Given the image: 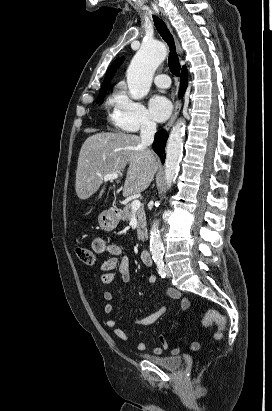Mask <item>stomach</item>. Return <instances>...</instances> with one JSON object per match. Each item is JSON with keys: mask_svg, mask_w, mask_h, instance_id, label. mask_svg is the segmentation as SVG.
I'll list each match as a JSON object with an SVG mask.
<instances>
[{"mask_svg": "<svg viewBox=\"0 0 272 411\" xmlns=\"http://www.w3.org/2000/svg\"><path fill=\"white\" fill-rule=\"evenodd\" d=\"M120 221V217L112 210L103 211L98 216V223L102 230L112 231L114 230Z\"/></svg>", "mask_w": 272, "mask_h": 411, "instance_id": "0dacf381", "label": "stomach"}]
</instances>
